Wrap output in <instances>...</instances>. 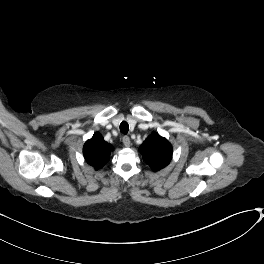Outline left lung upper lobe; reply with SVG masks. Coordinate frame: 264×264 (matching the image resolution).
<instances>
[{
	"label": "left lung upper lobe",
	"mask_w": 264,
	"mask_h": 264,
	"mask_svg": "<svg viewBox=\"0 0 264 264\" xmlns=\"http://www.w3.org/2000/svg\"><path fill=\"white\" fill-rule=\"evenodd\" d=\"M140 152L152 170L158 171L170 162L172 146L167 139L161 137L158 133H153L141 145Z\"/></svg>",
	"instance_id": "1"
}]
</instances>
